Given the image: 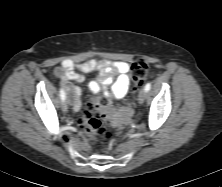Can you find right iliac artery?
Returning a JSON list of instances; mask_svg holds the SVG:
<instances>
[{
  "label": "right iliac artery",
  "instance_id": "82829eb1",
  "mask_svg": "<svg viewBox=\"0 0 222 187\" xmlns=\"http://www.w3.org/2000/svg\"><path fill=\"white\" fill-rule=\"evenodd\" d=\"M60 97H61V100L64 101L65 98H66V94H65V91L61 88L60 89Z\"/></svg>",
  "mask_w": 222,
  "mask_h": 187
}]
</instances>
